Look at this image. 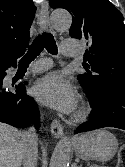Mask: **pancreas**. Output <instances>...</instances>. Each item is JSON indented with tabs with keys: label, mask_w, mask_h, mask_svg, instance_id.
Instances as JSON below:
<instances>
[{
	"label": "pancreas",
	"mask_w": 125,
	"mask_h": 167,
	"mask_svg": "<svg viewBox=\"0 0 125 167\" xmlns=\"http://www.w3.org/2000/svg\"><path fill=\"white\" fill-rule=\"evenodd\" d=\"M92 167H100V166L94 165V166H92Z\"/></svg>",
	"instance_id": "1"
}]
</instances>
